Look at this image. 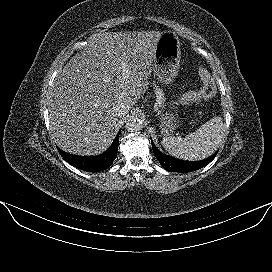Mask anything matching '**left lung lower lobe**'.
I'll return each mask as SVG.
<instances>
[{
    "label": "left lung lower lobe",
    "instance_id": "1",
    "mask_svg": "<svg viewBox=\"0 0 272 272\" xmlns=\"http://www.w3.org/2000/svg\"><path fill=\"white\" fill-rule=\"evenodd\" d=\"M152 148L153 152L155 154V157L158 159L162 167L169 171V172H191L198 170L207 164H209L216 156L217 152L213 154L211 157L197 161V162H190V161H183L179 159H175L173 157H170L168 155H165L161 153L153 144L152 140Z\"/></svg>",
    "mask_w": 272,
    "mask_h": 272
}]
</instances>
